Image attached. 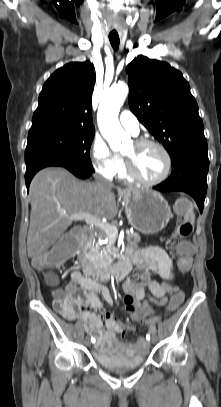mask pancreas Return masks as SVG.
Segmentation results:
<instances>
[{
  "mask_svg": "<svg viewBox=\"0 0 221 407\" xmlns=\"http://www.w3.org/2000/svg\"><path fill=\"white\" fill-rule=\"evenodd\" d=\"M107 234L103 230H89V237L85 242L84 251L88 254L92 265L95 268H103L107 264L106 254L100 253L101 249L94 246L97 238H106ZM127 243L129 246H137L141 241L139 233L136 232H127Z\"/></svg>",
  "mask_w": 221,
  "mask_h": 407,
  "instance_id": "cf45deb5",
  "label": "pancreas"
}]
</instances>
